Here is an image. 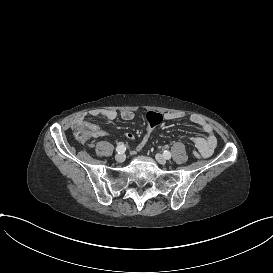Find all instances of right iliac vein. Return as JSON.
<instances>
[{
    "instance_id": "right-iliac-vein-1",
    "label": "right iliac vein",
    "mask_w": 273,
    "mask_h": 273,
    "mask_svg": "<svg viewBox=\"0 0 273 273\" xmlns=\"http://www.w3.org/2000/svg\"><path fill=\"white\" fill-rule=\"evenodd\" d=\"M125 158H126L125 155L122 154V153L116 154V156H115V160H116L117 162H119V163L124 162V161H125Z\"/></svg>"
}]
</instances>
